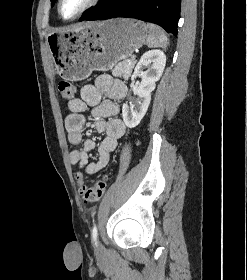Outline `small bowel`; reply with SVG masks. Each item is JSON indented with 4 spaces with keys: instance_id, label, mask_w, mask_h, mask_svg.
Wrapping results in <instances>:
<instances>
[{
    "instance_id": "c3829d8e",
    "label": "small bowel",
    "mask_w": 247,
    "mask_h": 280,
    "mask_svg": "<svg viewBox=\"0 0 247 280\" xmlns=\"http://www.w3.org/2000/svg\"><path fill=\"white\" fill-rule=\"evenodd\" d=\"M126 91V85L122 81L103 75L94 84L83 86L80 98L68 103L70 113L64 122L68 140L72 145L81 146L70 152L69 160L86 174H95L108 164L110 153L116 149L118 140L125 134V124L116 115L119 111L117 102L125 97ZM104 96L107 99L103 100ZM88 108H91V115L95 119L94 128L105 134L98 147V159L92 163H88V155L95 143L91 139H85L83 134L86 121L83 113ZM78 176L82 174L78 173Z\"/></svg>"
}]
</instances>
